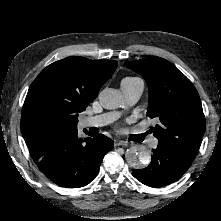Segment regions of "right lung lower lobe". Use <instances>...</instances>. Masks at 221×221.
Returning <instances> with one entry per match:
<instances>
[{
	"label": "right lung lower lobe",
	"instance_id": "1",
	"mask_svg": "<svg viewBox=\"0 0 221 221\" xmlns=\"http://www.w3.org/2000/svg\"><path fill=\"white\" fill-rule=\"evenodd\" d=\"M89 135L81 139L76 129L29 146L30 155L46 177L57 185L83 187L96 177L103 157L114 146L103 134Z\"/></svg>",
	"mask_w": 221,
	"mask_h": 221
}]
</instances>
